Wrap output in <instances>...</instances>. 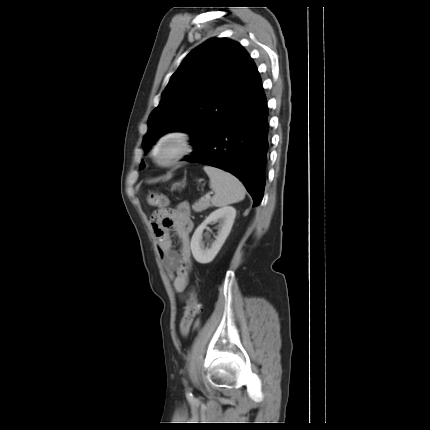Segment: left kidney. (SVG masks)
<instances>
[{"instance_id": "left-kidney-1", "label": "left kidney", "mask_w": 430, "mask_h": 430, "mask_svg": "<svg viewBox=\"0 0 430 430\" xmlns=\"http://www.w3.org/2000/svg\"><path fill=\"white\" fill-rule=\"evenodd\" d=\"M236 217V210L232 206H225L213 211L195 230L191 239V250L195 260L201 264L213 261L225 240L227 239ZM218 222V235L215 241L207 243L202 240V234L210 223Z\"/></svg>"}]
</instances>
